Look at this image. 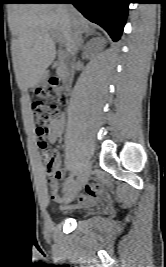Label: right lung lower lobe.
<instances>
[{
    "mask_svg": "<svg viewBox=\"0 0 166 267\" xmlns=\"http://www.w3.org/2000/svg\"><path fill=\"white\" fill-rule=\"evenodd\" d=\"M20 3H72L87 19L102 26L117 41L126 22L129 0H23Z\"/></svg>",
    "mask_w": 166,
    "mask_h": 267,
    "instance_id": "right-lung-lower-lobe-1",
    "label": "right lung lower lobe"
}]
</instances>
